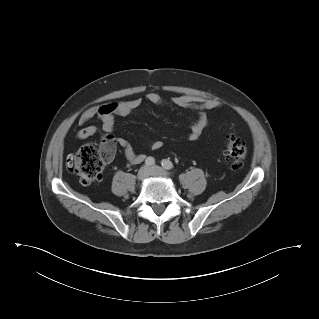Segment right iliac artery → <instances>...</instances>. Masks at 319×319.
<instances>
[{
    "label": "right iliac artery",
    "mask_w": 319,
    "mask_h": 319,
    "mask_svg": "<svg viewBox=\"0 0 319 319\" xmlns=\"http://www.w3.org/2000/svg\"><path fill=\"white\" fill-rule=\"evenodd\" d=\"M145 163L147 166H152L153 164H155V160L153 157H148L146 160H145Z\"/></svg>",
    "instance_id": "right-iliac-artery-1"
}]
</instances>
